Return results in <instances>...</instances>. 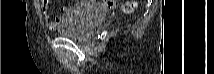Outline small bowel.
Here are the masks:
<instances>
[{
	"mask_svg": "<svg viewBox=\"0 0 214 74\" xmlns=\"http://www.w3.org/2000/svg\"><path fill=\"white\" fill-rule=\"evenodd\" d=\"M50 5H51V1L49 0H42L41 1V11H42V15H43V19L45 21L46 26L50 29V30H57L59 24L62 21V17L61 16H56V17H52L50 14ZM67 8L65 6H62L60 8V11L62 14H65L67 12Z\"/></svg>",
	"mask_w": 214,
	"mask_h": 74,
	"instance_id": "1",
	"label": "small bowel"
}]
</instances>
